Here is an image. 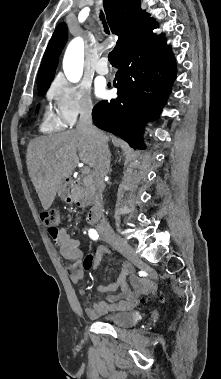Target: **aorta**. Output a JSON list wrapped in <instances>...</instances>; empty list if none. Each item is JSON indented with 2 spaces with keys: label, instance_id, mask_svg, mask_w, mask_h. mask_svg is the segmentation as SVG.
<instances>
[{
  "label": "aorta",
  "instance_id": "762f6f07",
  "mask_svg": "<svg viewBox=\"0 0 221 379\" xmlns=\"http://www.w3.org/2000/svg\"><path fill=\"white\" fill-rule=\"evenodd\" d=\"M83 64V40L75 38L69 43L63 59V70L66 78L71 82H78L82 77Z\"/></svg>",
  "mask_w": 221,
  "mask_h": 379
}]
</instances>
